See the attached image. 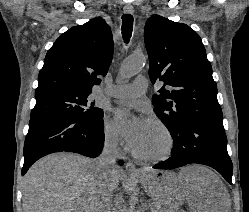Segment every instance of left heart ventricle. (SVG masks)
<instances>
[{"label": "left heart ventricle", "instance_id": "b2bd125f", "mask_svg": "<svg viewBox=\"0 0 249 212\" xmlns=\"http://www.w3.org/2000/svg\"><path fill=\"white\" fill-rule=\"evenodd\" d=\"M166 148L167 139L161 129L157 125L146 121L136 153L143 156H154L162 154Z\"/></svg>", "mask_w": 249, "mask_h": 212}]
</instances>
